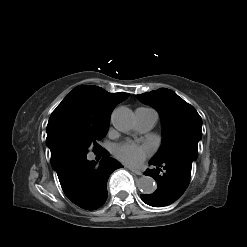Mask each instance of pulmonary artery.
Here are the masks:
<instances>
[{
    "instance_id": "obj_1",
    "label": "pulmonary artery",
    "mask_w": 247,
    "mask_h": 247,
    "mask_svg": "<svg viewBox=\"0 0 247 247\" xmlns=\"http://www.w3.org/2000/svg\"><path fill=\"white\" fill-rule=\"evenodd\" d=\"M136 128L140 132L149 131L157 120V113L149 108H138L135 111Z\"/></svg>"
}]
</instances>
